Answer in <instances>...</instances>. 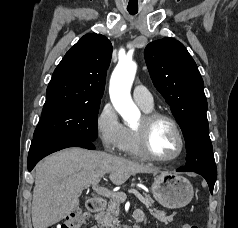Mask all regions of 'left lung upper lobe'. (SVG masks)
Returning a JSON list of instances; mask_svg holds the SVG:
<instances>
[{"label": "left lung upper lobe", "instance_id": "left-lung-upper-lobe-1", "mask_svg": "<svg viewBox=\"0 0 238 228\" xmlns=\"http://www.w3.org/2000/svg\"><path fill=\"white\" fill-rule=\"evenodd\" d=\"M156 89L165 98L186 141V170L217 174L207 120L204 83L185 46L170 37L149 43L144 51Z\"/></svg>", "mask_w": 238, "mask_h": 228}]
</instances>
